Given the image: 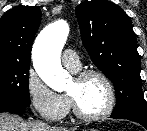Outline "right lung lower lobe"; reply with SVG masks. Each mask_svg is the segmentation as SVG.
Instances as JSON below:
<instances>
[{"label":"right lung lower lobe","mask_w":147,"mask_h":131,"mask_svg":"<svg viewBox=\"0 0 147 131\" xmlns=\"http://www.w3.org/2000/svg\"><path fill=\"white\" fill-rule=\"evenodd\" d=\"M26 107L18 106L10 102H0V113L1 112H11L16 113L19 111H23Z\"/></svg>","instance_id":"98d812e1"}]
</instances>
